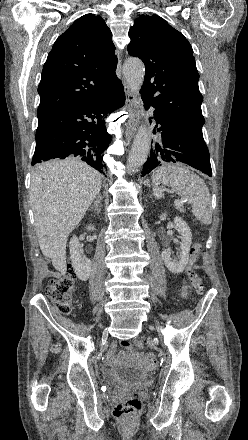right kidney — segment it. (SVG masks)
Masks as SVG:
<instances>
[{"label":"right kidney","mask_w":248,"mask_h":440,"mask_svg":"<svg viewBox=\"0 0 248 440\" xmlns=\"http://www.w3.org/2000/svg\"><path fill=\"white\" fill-rule=\"evenodd\" d=\"M86 229L89 231H94L95 227L94 225H89ZM79 247L80 244L78 238L73 236L70 240L69 248L74 272L81 281H87L90 276L92 263L90 259L83 255Z\"/></svg>","instance_id":"1"}]
</instances>
